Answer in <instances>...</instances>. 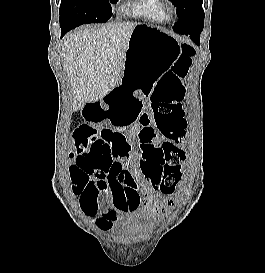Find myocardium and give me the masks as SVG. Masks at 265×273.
I'll return each mask as SVG.
<instances>
[{
	"label": "myocardium",
	"mask_w": 265,
	"mask_h": 273,
	"mask_svg": "<svg viewBox=\"0 0 265 273\" xmlns=\"http://www.w3.org/2000/svg\"><path fill=\"white\" fill-rule=\"evenodd\" d=\"M168 16H175L177 14V7L174 4H169L166 8Z\"/></svg>",
	"instance_id": "1"
}]
</instances>
